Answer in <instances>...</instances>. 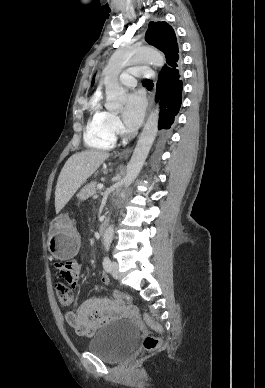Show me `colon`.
I'll list each match as a JSON object with an SVG mask.
<instances>
[{"label":"colon","mask_w":265,"mask_h":388,"mask_svg":"<svg viewBox=\"0 0 265 388\" xmlns=\"http://www.w3.org/2000/svg\"><path fill=\"white\" fill-rule=\"evenodd\" d=\"M58 301L62 307H69L73 302V293L71 288L65 283L59 282L55 286ZM113 301L117 303H123L124 301H132V297L119 290H114L111 294ZM144 320L150 328L157 333H163V326L155 321L151 315L147 312L144 315ZM161 339L155 336H147L143 341L144 348L148 351L155 350L159 347Z\"/></svg>","instance_id":"obj_1"}]
</instances>
